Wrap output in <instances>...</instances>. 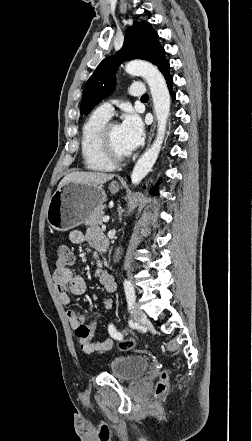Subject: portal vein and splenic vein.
<instances>
[{
	"instance_id": "1",
	"label": "portal vein and splenic vein",
	"mask_w": 252,
	"mask_h": 441,
	"mask_svg": "<svg viewBox=\"0 0 252 441\" xmlns=\"http://www.w3.org/2000/svg\"><path fill=\"white\" fill-rule=\"evenodd\" d=\"M102 220H103V222H105V223L108 222V221H109V216H104Z\"/></svg>"
}]
</instances>
